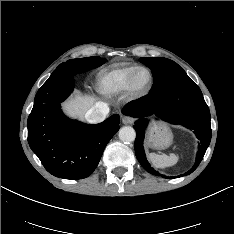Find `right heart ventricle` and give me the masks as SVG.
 I'll use <instances>...</instances> for the list:
<instances>
[{
    "mask_svg": "<svg viewBox=\"0 0 234 234\" xmlns=\"http://www.w3.org/2000/svg\"><path fill=\"white\" fill-rule=\"evenodd\" d=\"M137 68V65L119 64L102 70L97 76L99 91L108 96L120 94Z\"/></svg>",
    "mask_w": 234,
    "mask_h": 234,
    "instance_id": "e07e8e85",
    "label": "right heart ventricle"
}]
</instances>
